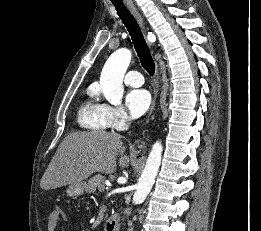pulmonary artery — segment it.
Wrapping results in <instances>:
<instances>
[{"mask_svg":"<svg viewBox=\"0 0 261 231\" xmlns=\"http://www.w3.org/2000/svg\"><path fill=\"white\" fill-rule=\"evenodd\" d=\"M125 83L132 87H140L143 85V76L138 71H128L125 76Z\"/></svg>","mask_w":261,"mask_h":231,"instance_id":"e3ab8cb5","label":"pulmonary artery"}]
</instances>
